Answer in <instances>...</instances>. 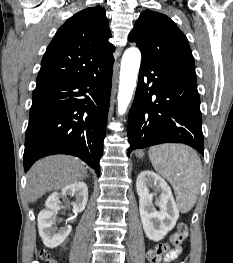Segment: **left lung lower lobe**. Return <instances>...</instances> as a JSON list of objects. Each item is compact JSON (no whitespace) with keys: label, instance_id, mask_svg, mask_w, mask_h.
<instances>
[{"label":"left lung lower lobe","instance_id":"obj_1","mask_svg":"<svg viewBox=\"0 0 233 263\" xmlns=\"http://www.w3.org/2000/svg\"><path fill=\"white\" fill-rule=\"evenodd\" d=\"M201 125L195 70L142 59L128 118V155L161 143H184L203 154Z\"/></svg>","mask_w":233,"mask_h":263}]
</instances>
